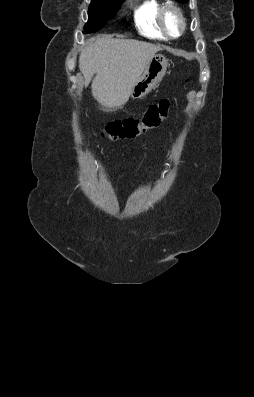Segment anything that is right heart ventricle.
Returning <instances> with one entry per match:
<instances>
[{"instance_id": "e07e8e85", "label": "right heart ventricle", "mask_w": 254, "mask_h": 397, "mask_svg": "<svg viewBox=\"0 0 254 397\" xmlns=\"http://www.w3.org/2000/svg\"><path fill=\"white\" fill-rule=\"evenodd\" d=\"M134 9V19L139 31L150 38L165 40L158 23V13L163 6L160 0H137Z\"/></svg>"}]
</instances>
